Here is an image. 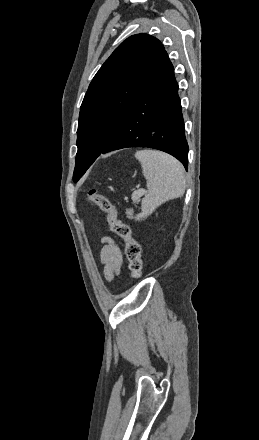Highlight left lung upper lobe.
<instances>
[{"label":"left lung upper lobe","mask_w":259,"mask_h":440,"mask_svg":"<svg viewBox=\"0 0 259 440\" xmlns=\"http://www.w3.org/2000/svg\"><path fill=\"white\" fill-rule=\"evenodd\" d=\"M163 52L158 39L148 34L133 35L115 49L94 76L80 108L74 182L111 141Z\"/></svg>","instance_id":"5c2ea615"}]
</instances>
